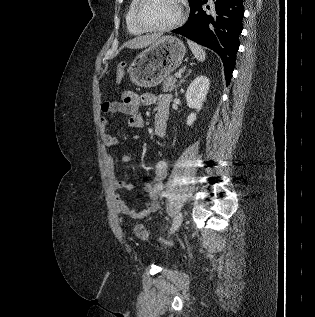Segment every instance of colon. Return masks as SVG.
Masks as SVG:
<instances>
[{
	"label": "colon",
	"instance_id": "5ec220e1",
	"mask_svg": "<svg viewBox=\"0 0 315 317\" xmlns=\"http://www.w3.org/2000/svg\"><path fill=\"white\" fill-rule=\"evenodd\" d=\"M125 68H126V63L122 62V63L118 64V66L116 68V73H115V81L117 83H120L122 81V79L124 78ZM134 231H135L136 236L139 239H141L143 241L149 240L148 231L146 230V228L143 225H141V224L136 225L134 228Z\"/></svg>",
	"mask_w": 315,
	"mask_h": 317
}]
</instances>
